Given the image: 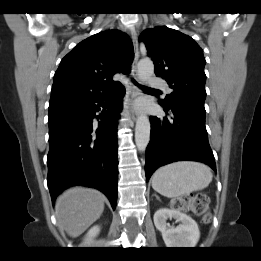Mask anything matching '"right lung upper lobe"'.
Wrapping results in <instances>:
<instances>
[{"mask_svg": "<svg viewBox=\"0 0 261 261\" xmlns=\"http://www.w3.org/2000/svg\"><path fill=\"white\" fill-rule=\"evenodd\" d=\"M133 56L130 38L119 30L103 31L78 43L54 75L49 108L116 91L122 85L112 77L127 74Z\"/></svg>", "mask_w": 261, "mask_h": 261, "instance_id": "obj_1", "label": "right lung upper lobe"}]
</instances>
